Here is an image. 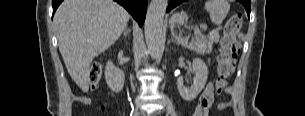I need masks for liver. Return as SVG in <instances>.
<instances>
[{
	"mask_svg": "<svg viewBox=\"0 0 305 116\" xmlns=\"http://www.w3.org/2000/svg\"><path fill=\"white\" fill-rule=\"evenodd\" d=\"M129 13L113 0H64L54 23L59 50L74 82L87 92L90 64L127 27Z\"/></svg>",
	"mask_w": 305,
	"mask_h": 116,
	"instance_id": "6515ba94",
	"label": "liver"
}]
</instances>
